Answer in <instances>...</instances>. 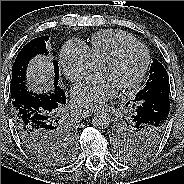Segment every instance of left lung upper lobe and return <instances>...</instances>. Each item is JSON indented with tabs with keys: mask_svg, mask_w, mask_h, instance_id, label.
<instances>
[{
	"mask_svg": "<svg viewBox=\"0 0 184 184\" xmlns=\"http://www.w3.org/2000/svg\"><path fill=\"white\" fill-rule=\"evenodd\" d=\"M161 85H169L168 74L164 66L153 59L149 79L139 93L155 88V94L161 96L162 91L158 87ZM129 105L131 106L130 114L117 119L111 134L118 155L124 160L135 161L150 155L161 143L162 138L159 139L151 128L139 126L132 116V102Z\"/></svg>",
	"mask_w": 184,
	"mask_h": 184,
	"instance_id": "left-lung-upper-lobe-1",
	"label": "left lung upper lobe"
}]
</instances>
